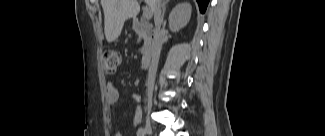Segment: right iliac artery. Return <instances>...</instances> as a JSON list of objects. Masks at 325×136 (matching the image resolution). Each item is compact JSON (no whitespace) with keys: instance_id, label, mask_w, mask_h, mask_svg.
<instances>
[{"instance_id":"82829eb1","label":"right iliac artery","mask_w":325,"mask_h":136,"mask_svg":"<svg viewBox=\"0 0 325 136\" xmlns=\"http://www.w3.org/2000/svg\"><path fill=\"white\" fill-rule=\"evenodd\" d=\"M146 134V132H145V129L144 128H140L139 130H138V132H137V135L138 136H144Z\"/></svg>"}]
</instances>
